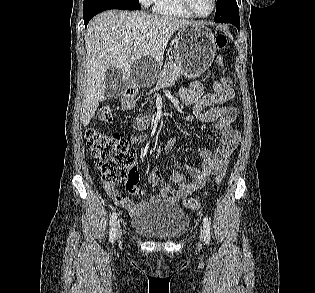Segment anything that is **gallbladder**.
Returning a JSON list of instances; mask_svg holds the SVG:
<instances>
[{
    "label": "gallbladder",
    "mask_w": 315,
    "mask_h": 293,
    "mask_svg": "<svg viewBox=\"0 0 315 293\" xmlns=\"http://www.w3.org/2000/svg\"><path fill=\"white\" fill-rule=\"evenodd\" d=\"M105 82L107 84V98H117L120 95L122 89L123 71L116 67L109 68L105 74Z\"/></svg>",
    "instance_id": "obj_1"
}]
</instances>
